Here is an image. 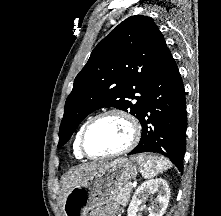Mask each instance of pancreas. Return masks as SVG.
<instances>
[{
  "label": "pancreas",
  "instance_id": "cf45deb5",
  "mask_svg": "<svg viewBox=\"0 0 221 216\" xmlns=\"http://www.w3.org/2000/svg\"><path fill=\"white\" fill-rule=\"evenodd\" d=\"M130 193L131 185L127 184L122 189H120V191L115 196L114 200L116 201V203L126 206L130 199Z\"/></svg>",
  "mask_w": 221,
  "mask_h": 216
}]
</instances>
